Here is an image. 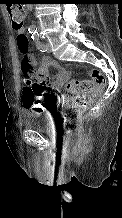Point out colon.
I'll return each instance as SVG.
<instances>
[{"mask_svg":"<svg viewBox=\"0 0 122 218\" xmlns=\"http://www.w3.org/2000/svg\"><path fill=\"white\" fill-rule=\"evenodd\" d=\"M10 13L12 27L19 31L23 27L25 11L21 4L10 1L7 5ZM17 48L21 57L22 80L25 84L23 104L31 112H40L42 107L36 98L39 93H45V86L38 85L32 79V66L29 61V39L24 33H18L16 37ZM90 80L73 79L66 83V90L73 95L72 100L63 109L64 127L67 132H72L77 122L91 103L92 96L103 91L107 80L98 69L88 71Z\"/></svg>","mask_w":122,"mask_h":218,"instance_id":"1","label":"colon"}]
</instances>
